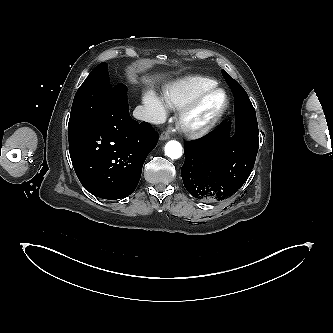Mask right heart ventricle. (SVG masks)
<instances>
[{
    "mask_svg": "<svg viewBox=\"0 0 333 333\" xmlns=\"http://www.w3.org/2000/svg\"><path fill=\"white\" fill-rule=\"evenodd\" d=\"M217 82L204 76H187L168 84L163 90V100L173 109H181L202 91Z\"/></svg>",
    "mask_w": 333,
    "mask_h": 333,
    "instance_id": "1",
    "label": "right heart ventricle"
}]
</instances>
